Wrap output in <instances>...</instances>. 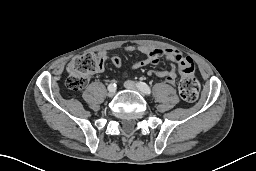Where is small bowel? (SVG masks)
Instances as JSON below:
<instances>
[{
    "mask_svg": "<svg viewBox=\"0 0 256 171\" xmlns=\"http://www.w3.org/2000/svg\"><path fill=\"white\" fill-rule=\"evenodd\" d=\"M128 52L140 51L144 54V57L136 62L132 69L144 67L149 64L159 65L160 58L164 57L168 62L171 63V69L166 71L153 70L150 71V75H155L164 79L168 84L174 86L178 77L176 66H179V59L183 56L181 52L172 48H159V47H147V46H134L128 45L125 47ZM98 56L104 62L110 60L116 67L121 66V58L117 55L108 56L105 51L98 53ZM103 65L98 71L103 70Z\"/></svg>",
    "mask_w": 256,
    "mask_h": 171,
    "instance_id": "small-bowel-1",
    "label": "small bowel"
}]
</instances>
